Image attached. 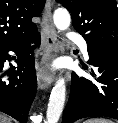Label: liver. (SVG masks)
Segmentation results:
<instances>
[{
	"label": "liver",
	"instance_id": "liver-1",
	"mask_svg": "<svg viewBox=\"0 0 118 123\" xmlns=\"http://www.w3.org/2000/svg\"><path fill=\"white\" fill-rule=\"evenodd\" d=\"M0 123H11V119L0 113Z\"/></svg>",
	"mask_w": 118,
	"mask_h": 123
}]
</instances>
